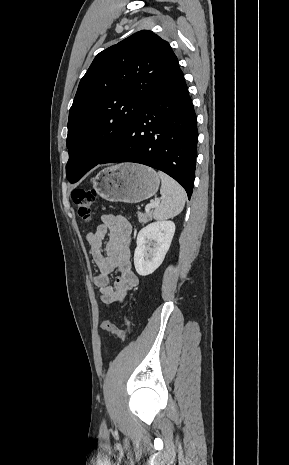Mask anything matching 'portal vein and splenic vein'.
<instances>
[{
    "instance_id": "1",
    "label": "portal vein and splenic vein",
    "mask_w": 289,
    "mask_h": 465,
    "mask_svg": "<svg viewBox=\"0 0 289 465\" xmlns=\"http://www.w3.org/2000/svg\"><path fill=\"white\" fill-rule=\"evenodd\" d=\"M159 203V200L152 201L150 204L146 205L145 210L150 211V209L155 208Z\"/></svg>"
}]
</instances>
